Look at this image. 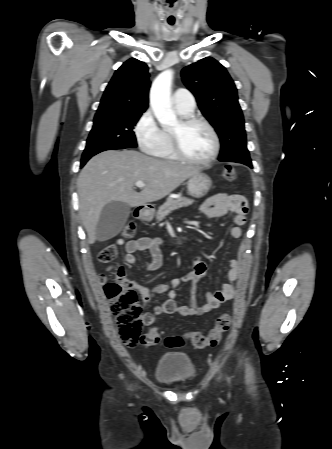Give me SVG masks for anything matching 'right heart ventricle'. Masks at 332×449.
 <instances>
[{"label": "right heart ventricle", "mask_w": 332, "mask_h": 449, "mask_svg": "<svg viewBox=\"0 0 332 449\" xmlns=\"http://www.w3.org/2000/svg\"><path fill=\"white\" fill-rule=\"evenodd\" d=\"M176 108V107H175ZM177 112L182 116H187L188 114L181 112L176 108ZM156 157L167 159V160H176L177 157L175 156L172 146H171V139H170V133L168 131H163V139L160 144V146L156 149V151L153 153Z\"/></svg>", "instance_id": "e07e8e85"}]
</instances>
